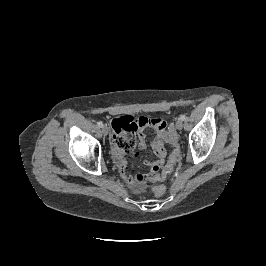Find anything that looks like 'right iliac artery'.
<instances>
[{"instance_id":"obj_1","label":"right iliac artery","mask_w":266,"mask_h":266,"mask_svg":"<svg viewBox=\"0 0 266 266\" xmlns=\"http://www.w3.org/2000/svg\"><path fill=\"white\" fill-rule=\"evenodd\" d=\"M97 125H98L99 127H103V123H102V122H98Z\"/></svg>"}]
</instances>
